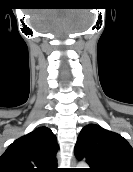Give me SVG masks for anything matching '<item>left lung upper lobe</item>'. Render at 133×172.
<instances>
[{
    "label": "left lung upper lobe",
    "mask_w": 133,
    "mask_h": 172,
    "mask_svg": "<svg viewBox=\"0 0 133 172\" xmlns=\"http://www.w3.org/2000/svg\"><path fill=\"white\" fill-rule=\"evenodd\" d=\"M78 160L86 158V172H133V148L121 135L96 124L85 126L74 149Z\"/></svg>",
    "instance_id": "obj_1"
}]
</instances>
